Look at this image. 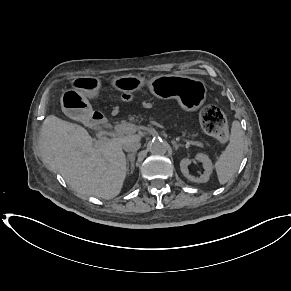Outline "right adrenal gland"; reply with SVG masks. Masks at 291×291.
Masks as SVG:
<instances>
[{"mask_svg":"<svg viewBox=\"0 0 291 291\" xmlns=\"http://www.w3.org/2000/svg\"><path fill=\"white\" fill-rule=\"evenodd\" d=\"M136 152L127 155L126 164H127V171L129 172V167L131 168L130 173L132 174L134 171V160H135Z\"/></svg>","mask_w":291,"mask_h":291,"instance_id":"2a0ac1e0","label":"right adrenal gland"}]
</instances>
